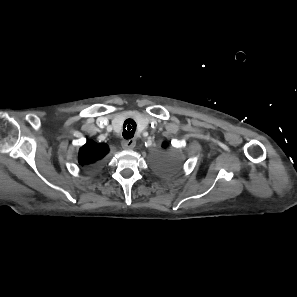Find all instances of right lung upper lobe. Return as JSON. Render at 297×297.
<instances>
[{
  "label": "right lung upper lobe",
  "instance_id": "obj_1",
  "mask_svg": "<svg viewBox=\"0 0 297 297\" xmlns=\"http://www.w3.org/2000/svg\"><path fill=\"white\" fill-rule=\"evenodd\" d=\"M109 148L106 144H98L94 141L87 142L80 150L78 161L82 166H94L108 153Z\"/></svg>",
  "mask_w": 297,
  "mask_h": 297
}]
</instances>
